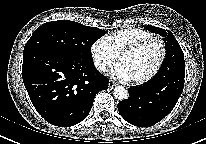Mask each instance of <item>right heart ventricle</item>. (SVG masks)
Listing matches in <instances>:
<instances>
[{"label": "right heart ventricle", "instance_id": "1", "mask_svg": "<svg viewBox=\"0 0 206 144\" xmlns=\"http://www.w3.org/2000/svg\"><path fill=\"white\" fill-rule=\"evenodd\" d=\"M153 37L152 34L146 30L136 27L123 28L116 30L105 37L110 48L118 56L120 51L136 42Z\"/></svg>", "mask_w": 206, "mask_h": 144}]
</instances>
